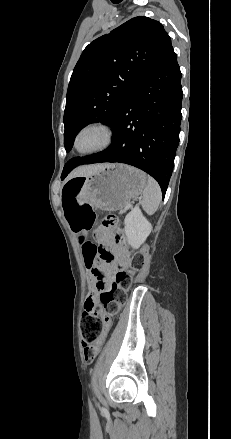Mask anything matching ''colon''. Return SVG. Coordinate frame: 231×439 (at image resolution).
Wrapping results in <instances>:
<instances>
[{
	"label": "colon",
	"instance_id": "5ec220e1",
	"mask_svg": "<svg viewBox=\"0 0 231 439\" xmlns=\"http://www.w3.org/2000/svg\"><path fill=\"white\" fill-rule=\"evenodd\" d=\"M82 186L80 180H72L63 188V195L66 200L71 199L77 194ZM82 216L74 219L75 228L78 230H87L95 222L93 211L87 205L80 207ZM113 225V219L108 217L102 222L104 229H109ZM123 240L120 234L115 235V241L120 243ZM142 252L131 255L125 263H121L118 272L114 275L108 289H103L100 295L102 309H86L81 317V342L84 348V356L87 362H92L97 354L98 347L95 344L101 341L109 328L112 319L120 312L126 300V294L130 289L134 273L139 271L144 263V253ZM100 251L95 245L94 249H87L85 255V265L92 268ZM101 257L108 259L109 255L103 254ZM100 281H105V275L102 272H96Z\"/></svg>",
	"mask_w": 231,
	"mask_h": 439
}]
</instances>
